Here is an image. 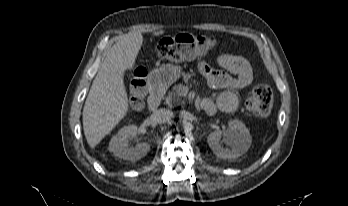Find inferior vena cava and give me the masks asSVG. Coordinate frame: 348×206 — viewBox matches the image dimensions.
I'll use <instances>...</instances> for the list:
<instances>
[{
  "label": "inferior vena cava",
  "mask_w": 348,
  "mask_h": 206,
  "mask_svg": "<svg viewBox=\"0 0 348 206\" xmlns=\"http://www.w3.org/2000/svg\"><path fill=\"white\" fill-rule=\"evenodd\" d=\"M173 117V112L166 108H160L153 113V118L158 123H168Z\"/></svg>",
  "instance_id": "1"
}]
</instances>
